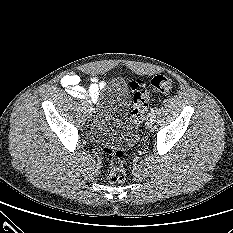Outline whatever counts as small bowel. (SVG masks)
Here are the masks:
<instances>
[{
    "mask_svg": "<svg viewBox=\"0 0 233 233\" xmlns=\"http://www.w3.org/2000/svg\"><path fill=\"white\" fill-rule=\"evenodd\" d=\"M62 86L74 98L86 99L96 102L99 99L101 90L106 86V81L98 77H91L90 83L85 85L76 73H69L61 79ZM140 82H133L131 86L135 88L139 86Z\"/></svg>",
    "mask_w": 233,
    "mask_h": 233,
    "instance_id": "c3829d8e",
    "label": "small bowel"
}]
</instances>
